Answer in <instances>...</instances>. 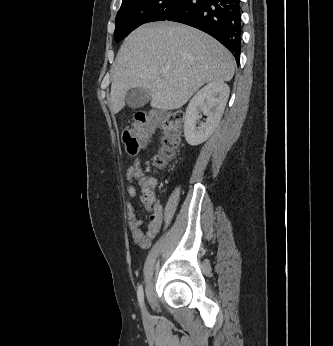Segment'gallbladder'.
<instances>
[{
    "instance_id": "gallbladder-1",
    "label": "gallbladder",
    "mask_w": 333,
    "mask_h": 346,
    "mask_svg": "<svg viewBox=\"0 0 333 346\" xmlns=\"http://www.w3.org/2000/svg\"><path fill=\"white\" fill-rule=\"evenodd\" d=\"M151 92L147 88L134 87L125 94V102L132 109L143 107L150 99Z\"/></svg>"
}]
</instances>
